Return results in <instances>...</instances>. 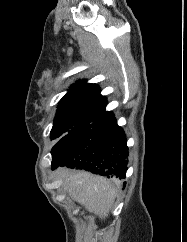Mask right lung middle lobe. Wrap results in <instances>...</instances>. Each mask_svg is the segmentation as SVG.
I'll return each instance as SVG.
<instances>
[{
    "label": "right lung middle lobe",
    "mask_w": 187,
    "mask_h": 242,
    "mask_svg": "<svg viewBox=\"0 0 187 242\" xmlns=\"http://www.w3.org/2000/svg\"><path fill=\"white\" fill-rule=\"evenodd\" d=\"M105 112L104 108L92 106L59 107L54 118L50 138L58 139L67 133L95 121Z\"/></svg>",
    "instance_id": "obj_1"
}]
</instances>
